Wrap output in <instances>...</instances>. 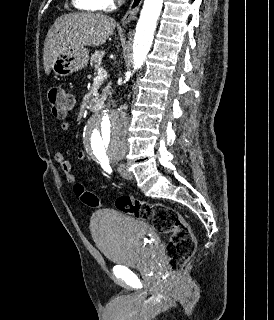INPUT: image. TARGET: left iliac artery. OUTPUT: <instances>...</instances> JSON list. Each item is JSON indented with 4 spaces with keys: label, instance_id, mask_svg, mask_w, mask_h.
I'll return each instance as SVG.
<instances>
[{
    "label": "left iliac artery",
    "instance_id": "44dca946",
    "mask_svg": "<svg viewBox=\"0 0 274 320\" xmlns=\"http://www.w3.org/2000/svg\"><path fill=\"white\" fill-rule=\"evenodd\" d=\"M101 162V166L102 168L107 172V173H111L112 170H111V167L109 165V162L107 160H100Z\"/></svg>",
    "mask_w": 274,
    "mask_h": 320
}]
</instances>
